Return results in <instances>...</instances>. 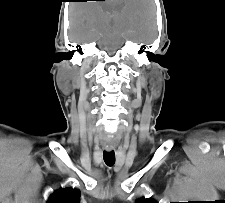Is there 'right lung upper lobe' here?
Here are the masks:
<instances>
[{"instance_id":"cb5924a9","label":"right lung upper lobe","mask_w":225,"mask_h":203,"mask_svg":"<svg viewBox=\"0 0 225 203\" xmlns=\"http://www.w3.org/2000/svg\"><path fill=\"white\" fill-rule=\"evenodd\" d=\"M80 191L73 188H65L55 191L50 195L47 203H79Z\"/></svg>"}]
</instances>
